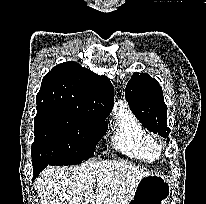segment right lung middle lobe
I'll return each instance as SVG.
<instances>
[{
  "instance_id": "obj_1",
  "label": "right lung middle lobe",
  "mask_w": 206,
  "mask_h": 204,
  "mask_svg": "<svg viewBox=\"0 0 206 204\" xmlns=\"http://www.w3.org/2000/svg\"><path fill=\"white\" fill-rule=\"evenodd\" d=\"M106 117L42 105L34 118V165H74L87 160L106 131Z\"/></svg>"
}]
</instances>
